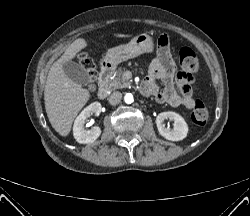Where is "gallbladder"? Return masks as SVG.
<instances>
[{
	"label": "gallbladder",
	"instance_id": "bac80fb5",
	"mask_svg": "<svg viewBox=\"0 0 250 216\" xmlns=\"http://www.w3.org/2000/svg\"><path fill=\"white\" fill-rule=\"evenodd\" d=\"M63 70L72 81L79 85H88L91 82L86 70L73 61L66 62L63 66Z\"/></svg>",
	"mask_w": 250,
	"mask_h": 216
}]
</instances>
